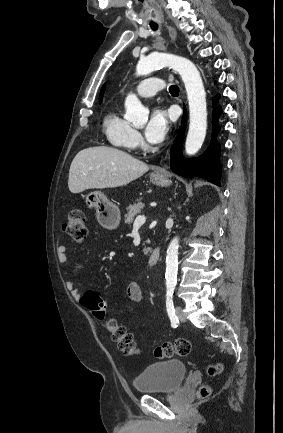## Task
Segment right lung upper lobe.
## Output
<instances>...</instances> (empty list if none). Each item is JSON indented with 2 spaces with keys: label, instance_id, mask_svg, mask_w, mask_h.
Instances as JSON below:
<instances>
[{
  "label": "right lung upper lobe",
  "instance_id": "cb5924a9",
  "mask_svg": "<svg viewBox=\"0 0 283 433\" xmlns=\"http://www.w3.org/2000/svg\"><path fill=\"white\" fill-rule=\"evenodd\" d=\"M103 94H104V85H103L101 92H100V98H99L100 103L102 102Z\"/></svg>",
  "mask_w": 283,
  "mask_h": 433
}]
</instances>
